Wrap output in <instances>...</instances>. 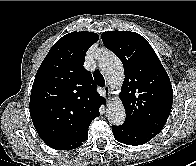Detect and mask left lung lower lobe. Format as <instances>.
<instances>
[{
	"instance_id": "obj_1",
	"label": "left lung lower lobe",
	"mask_w": 196,
	"mask_h": 166,
	"mask_svg": "<svg viewBox=\"0 0 196 166\" xmlns=\"http://www.w3.org/2000/svg\"><path fill=\"white\" fill-rule=\"evenodd\" d=\"M112 131L117 141L127 145L144 144L156 136L153 133L140 131L127 124L113 126Z\"/></svg>"
}]
</instances>
